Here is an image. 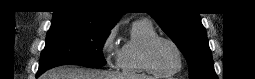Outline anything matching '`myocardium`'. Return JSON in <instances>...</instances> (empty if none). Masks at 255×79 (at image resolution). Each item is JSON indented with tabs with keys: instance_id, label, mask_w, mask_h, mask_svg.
<instances>
[{
	"instance_id": "1",
	"label": "myocardium",
	"mask_w": 255,
	"mask_h": 79,
	"mask_svg": "<svg viewBox=\"0 0 255 79\" xmlns=\"http://www.w3.org/2000/svg\"><path fill=\"white\" fill-rule=\"evenodd\" d=\"M159 41H165V42L171 44L173 46V48L176 50L178 57H179V63H178V66L176 69H174L172 71H162V70H159L158 68H156L154 66V64L152 63L151 52H152V49L155 46V44L158 43ZM142 60H143V64H144L145 68L149 72H151L152 74H155V75H163V76L174 75V74L180 72L182 70L183 64H184L183 52H182L181 48L179 47V45L174 40H172L168 37H165V36H160V35H156L147 41V43L145 44L144 49H143Z\"/></svg>"
}]
</instances>
